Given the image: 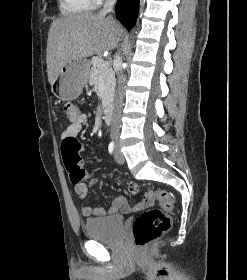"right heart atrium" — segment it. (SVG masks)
Wrapping results in <instances>:
<instances>
[{
	"label": "right heart atrium",
	"instance_id": "right-heart-atrium-1",
	"mask_svg": "<svg viewBox=\"0 0 247 280\" xmlns=\"http://www.w3.org/2000/svg\"><path fill=\"white\" fill-rule=\"evenodd\" d=\"M94 3H100L102 0H93Z\"/></svg>",
	"mask_w": 247,
	"mask_h": 280
}]
</instances>
